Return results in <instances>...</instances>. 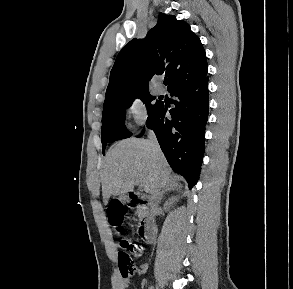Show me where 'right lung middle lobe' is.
Returning <instances> with one entry per match:
<instances>
[{
  "mask_svg": "<svg viewBox=\"0 0 293 289\" xmlns=\"http://www.w3.org/2000/svg\"><path fill=\"white\" fill-rule=\"evenodd\" d=\"M136 98H140L146 104L148 115L151 114L160 104L159 101H156L154 104L152 103L155 96L150 95L149 92L117 97L104 103L101 128L103 150L107 143L131 136V133L128 132L124 126V120L126 117L123 110L130 107Z\"/></svg>",
  "mask_w": 293,
  "mask_h": 289,
  "instance_id": "right-lung-middle-lobe-1",
  "label": "right lung middle lobe"
}]
</instances>
